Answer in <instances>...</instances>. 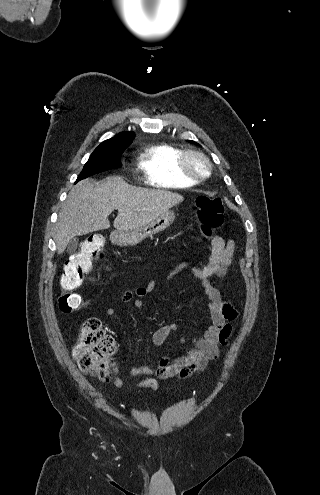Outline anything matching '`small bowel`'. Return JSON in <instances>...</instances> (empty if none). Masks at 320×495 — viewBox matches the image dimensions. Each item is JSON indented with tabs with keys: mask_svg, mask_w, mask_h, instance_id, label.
I'll list each match as a JSON object with an SVG mask.
<instances>
[{
	"mask_svg": "<svg viewBox=\"0 0 320 495\" xmlns=\"http://www.w3.org/2000/svg\"><path fill=\"white\" fill-rule=\"evenodd\" d=\"M235 256V243L233 240H225L218 234H215L211 240V254L209 261L204 266H190L186 263L179 264L168 275V279L183 270H189L196 277L208 300V309L210 313V324L199 337L190 339L191 346L185 348V354L171 361L168 355L159 359L156 367L138 365L132 367L130 373L133 376L146 375V379L138 381L132 385V388H147L152 391L158 389V382L155 378L160 379H185L198 373L206 368L210 361L216 360L220 354V346L228 345L229 339L233 333L232 322L237 318V310L223 299L219 290L213 285L211 278L223 275L232 265ZM156 289L155 282H149L146 286L136 289L135 293L127 290L122 293L121 300L124 303L132 302L133 305L142 309L145 306L144 299ZM106 314L110 317L117 314L114 307H109ZM178 330V325L170 323L161 326L155 330L150 338L152 346L162 345L167 338ZM184 342V340H182ZM114 385L117 388L125 386L119 376V368L114 369Z\"/></svg>",
	"mask_w": 320,
	"mask_h": 495,
	"instance_id": "small-bowel-1",
	"label": "small bowel"
}]
</instances>
